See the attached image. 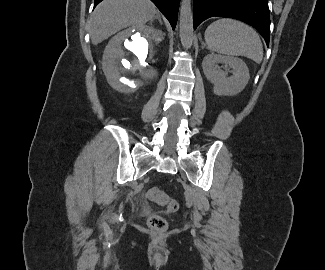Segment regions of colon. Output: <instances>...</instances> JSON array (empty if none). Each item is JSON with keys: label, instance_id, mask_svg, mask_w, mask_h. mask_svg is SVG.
I'll return each mask as SVG.
<instances>
[{"label": "colon", "instance_id": "1", "mask_svg": "<svg viewBox=\"0 0 325 270\" xmlns=\"http://www.w3.org/2000/svg\"><path fill=\"white\" fill-rule=\"evenodd\" d=\"M149 199L165 207L168 213H175L179 209V204L175 199L170 198L159 188L153 187L147 193ZM148 226L156 231H164L167 228V221L160 215H151L147 220Z\"/></svg>", "mask_w": 325, "mask_h": 270}]
</instances>
